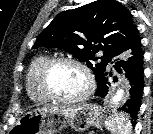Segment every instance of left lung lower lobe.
Masks as SVG:
<instances>
[{
  "instance_id": "1",
  "label": "left lung lower lobe",
  "mask_w": 153,
  "mask_h": 134,
  "mask_svg": "<svg viewBox=\"0 0 153 134\" xmlns=\"http://www.w3.org/2000/svg\"><path fill=\"white\" fill-rule=\"evenodd\" d=\"M143 51L141 48V43L131 51L129 57L125 60L115 59L113 66L115 70L119 73L122 72V68L126 71V76L130 81L131 89L130 96L127 102L123 105L122 110L128 113L132 119V125L135 126L137 114L141 105V98L144 87V68H143ZM112 76V73H108L105 71L101 79L97 82V90L95 95L105 97L108 93L110 82L109 77ZM117 78L114 77V81Z\"/></svg>"
}]
</instances>
